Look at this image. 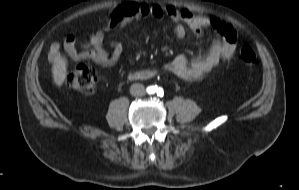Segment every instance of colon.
Wrapping results in <instances>:
<instances>
[{
	"label": "colon",
	"mask_w": 299,
	"mask_h": 190,
	"mask_svg": "<svg viewBox=\"0 0 299 190\" xmlns=\"http://www.w3.org/2000/svg\"><path fill=\"white\" fill-rule=\"evenodd\" d=\"M240 58L243 63L252 65L256 61V54L250 46L244 45L240 50ZM66 83L83 94L92 95L96 91V72L92 67L81 63L67 72Z\"/></svg>",
	"instance_id": "obj_1"
}]
</instances>
